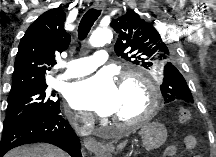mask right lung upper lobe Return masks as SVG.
Segmentation results:
<instances>
[{
    "label": "right lung upper lobe",
    "instance_id": "right-lung-upper-lobe-1",
    "mask_svg": "<svg viewBox=\"0 0 216 157\" xmlns=\"http://www.w3.org/2000/svg\"><path fill=\"white\" fill-rule=\"evenodd\" d=\"M61 8L46 11L35 20L20 41L11 91L46 85L45 71L56 64L55 53L65 51L71 37L63 28Z\"/></svg>",
    "mask_w": 216,
    "mask_h": 157
}]
</instances>
